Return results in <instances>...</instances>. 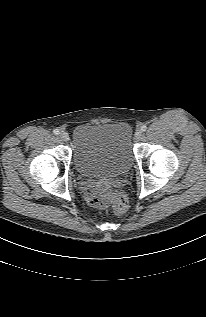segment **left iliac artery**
<instances>
[{
	"label": "left iliac artery",
	"mask_w": 206,
	"mask_h": 317,
	"mask_svg": "<svg viewBox=\"0 0 206 317\" xmlns=\"http://www.w3.org/2000/svg\"><path fill=\"white\" fill-rule=\"evenodd\" d=\"M146 129H147V126H146V125H142V126H141V130H142V131H146Z\"/></svg>",
	"instance_id": "obj_1"
}]
</instances>
